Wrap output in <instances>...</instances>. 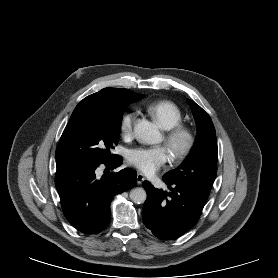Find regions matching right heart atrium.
<instances>
[{
  "mask_svg": "<svg viewBox=\"0 0 278 278\" xmlns=\"http://www.w3.org/2000/svg\"><path fill=\"white\" fill-rule=\"evenodd\" d=\"M136 121V113L133 111L124 112L119 121L120 133L124 138H130Z\"/></svg>",
  "mask_w": 278,
  "mask_h": 278,
  "instance_id": "right-heart-atrium-1",
  "label": "right heart atrium"
}]
</instances>
